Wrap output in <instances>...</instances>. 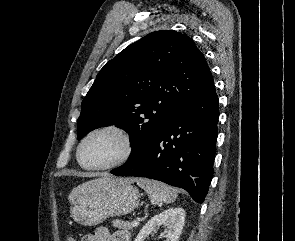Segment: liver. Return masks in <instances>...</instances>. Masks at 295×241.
Here are the masks:
<instances>
[{
    "instance_id": "obj_1",
    "label": "liver",
    "mask_w": 295,
    "mask_h": 241,
    "mask_svg": "<svg viewBox=\"0 0 295 241\" xmlns=\"http://www.w3.org/2000/svg\"><path fill=\"white\" fill-rule=\"evenodd\" d=\"M113 180H115V178H113L110 175L104 174L101 178H98V179H95V180H91V181L85 182V183H83V184L75 187L71 191L68 199H69V201L72 202L75 199V197H77L79 194L85 192L86 190H89L91 187L96 186L98 184H102V183H106V182H111ZM126 180L128 182H131V183L134 181V179H126Z\"/></svg>"
}]
</instances>
